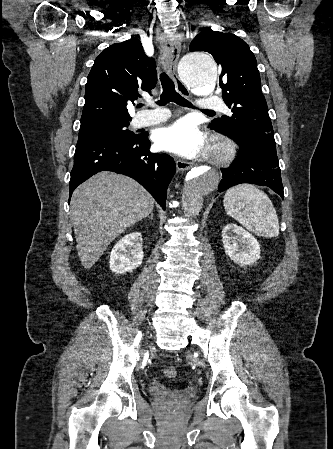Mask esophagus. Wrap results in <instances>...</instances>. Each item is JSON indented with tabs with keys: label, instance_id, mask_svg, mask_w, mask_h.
Listing matches in <instances>:
<instances>
[{
	"label": "esophagus",
	"instance_id": "1",
	"mask_svg": "<svg viewBox=\"0 0 333 449\" xmlns=\"http://www.w3.org/2000/svg\"><path fill=\"white\" fill-rule=\"evenodd\" d=\"M164 54H165V66L168 71V73L173 78L177 90L183 94L184 96H189V90L187 87L182 83V81L179 79L176 67H177V61L180 55V46L176 42V40L172 37L167 36L164 41ZM192 163L183 161V160H177L176 166L178 171H185L188 170L191 167Z\"/></svg>",
	"mask_w": 333,
	"mask_h": 449
}]
</instances>
